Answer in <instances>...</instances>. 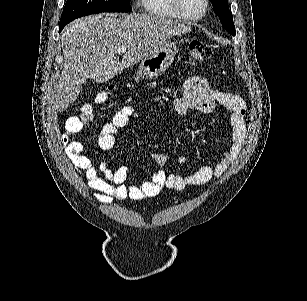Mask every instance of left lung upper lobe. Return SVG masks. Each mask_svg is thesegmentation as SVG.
<instances>
[{
  "mask_svg": "<svg viewBox=\"0 0 307 301\" xmlns=\"http://www.w3.org/2000/svg\"><path fill=\"white\" fill-rule=\"evenodd\" d=\"M214 12L219 16L220 21L223 27L230 33L235 36V26L233 22L232 13L228 7V0H210Z\"/></svg>",
  "mask_w": 307,
  "mask_h": 301,
  "instance_id": "obj_1",
  "label": "left lung upper lobe"
}]
</instances>
